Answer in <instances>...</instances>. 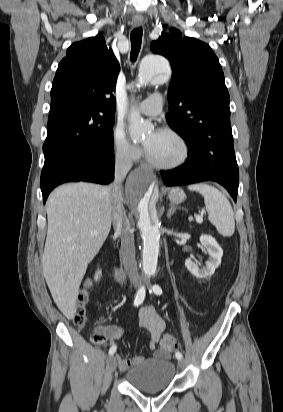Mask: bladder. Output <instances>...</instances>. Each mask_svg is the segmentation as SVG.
<instances>
[{
  "instance_id": "31cf9c89",
  "label": "bladder",
  "mask_w": 283,
  "mask_h": 412,
  "mask_svg": "<svg viewBox=\"0 0 283 412\" xmlns=\"http://www.w3.org/2000/svg\"><path fill=\"white\" fill-rule=\"evenodd\" d=\"M176 368L171 360H146L125 373L126 382L143 392H160L169 388Z\"/></svg>"
}]
</instances>
